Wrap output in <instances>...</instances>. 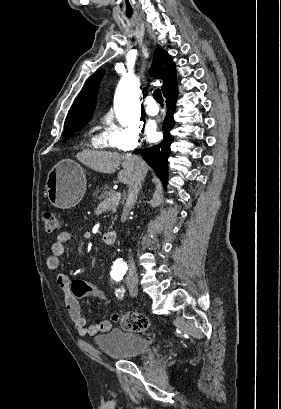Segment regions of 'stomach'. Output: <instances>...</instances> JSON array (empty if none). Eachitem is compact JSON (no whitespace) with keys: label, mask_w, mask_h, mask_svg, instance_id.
Masks as SVG:
<instances>
[{"label":"stomach","mask_w":281,"mask_h":409,"mask_svg":"<svg viewBox=\"0 0 281 409\" xmlns=\"http://www.w3.org/2000/svg\"><path fill=\"white\" fill-rule=\"evenodd\" d=\"M85 170L71 158L57 162L46 180V194L53 207L71 209L82 200L86 190Z\"/></svg>","instance_id":"stomach-1"}]
</instances>
